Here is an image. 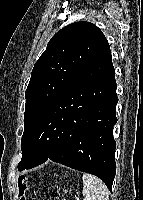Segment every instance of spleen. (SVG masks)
<instances>
[{
  "label": "spleen",
  "mask_w": 143,
  "mask_h": 200,
  "mask_svg": "<svg viewBox=\"0 0 143 200\" xmlns=\"http://www.w3.org/2000/svg\"><path fill=\"white\" fill-rule=\"evenodd\" d=\"M84 200H109L108 189L98 177L85 173L82 176Z\"/></svg>",
  "instance_id": "3e777b00"
}]
</instances>
